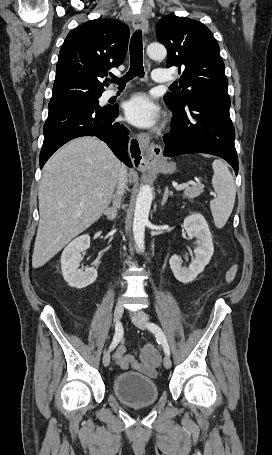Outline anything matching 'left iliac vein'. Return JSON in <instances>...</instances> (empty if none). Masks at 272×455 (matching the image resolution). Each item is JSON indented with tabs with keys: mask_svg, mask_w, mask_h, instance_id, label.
<instances>
[{
	"mask_svg": "<svg viewBox=\"0 0 272 455\" xmlns=\"http://www.w3.org/2000/svg\"><path fill=\"white\" fill-rule=\"evenodd\" d=\"M131 319L133 323L140 329L147 328L149 316L145 312L137 311L135 314L131 315ZM163 364L166 369H169L171 367V359L168 355L164 357Z\"/></svg>",
	"mask_w": 272,
	"mask_h": 455,
	"instance_id": "4c4485c4",
	"label": "left iliac vein"
}]
</instances>
